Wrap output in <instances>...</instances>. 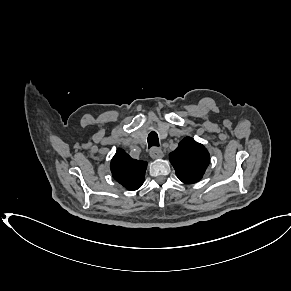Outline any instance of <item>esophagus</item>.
Listing matches in <instances>:
<instances>
[{
    "label": "esophagus",
    "mask_w": 291,
    "mask_h": 291,
    "mask_svg": "<svg viewBox=\"0 0 291 291\" xmlns=\"http://www.w3.org/2000/svg\"><path fill=\"white\" fill-rule=\"evenodd\" d=\"M150 156L153 159H158V158H162L164 154L161 149L154 147L150 150Z\"/></svg>",
    "instance_id": "34e87169"
}]
</instances>
